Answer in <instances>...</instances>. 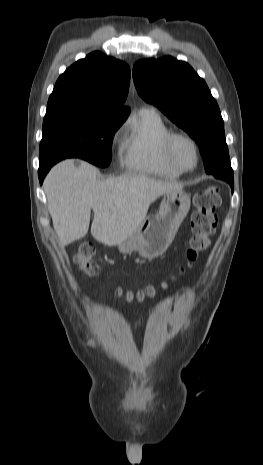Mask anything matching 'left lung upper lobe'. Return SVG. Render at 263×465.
<instances>
[{
  "label": "left lung upper lobe",
  "instance_id": "obj_1",
  "mask_svg": "<svg viewBox=\"0 0 263 465\" xmlns=\"http://www.w3.org/2000/svg\"><path fill=\"white\" fill-rule=\"evenodd\" d=\"M133 79L139 95L184 129L199 145L203 158L218 161L210 173L233 186V170L219 107L205 81L193 68L169 56L144 59L135 63Z\"/></svg>",
  "mask_w": 263,
  "mask_h": 465
}]
</instances>
